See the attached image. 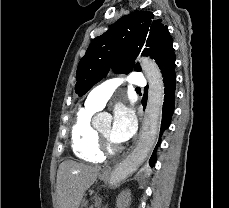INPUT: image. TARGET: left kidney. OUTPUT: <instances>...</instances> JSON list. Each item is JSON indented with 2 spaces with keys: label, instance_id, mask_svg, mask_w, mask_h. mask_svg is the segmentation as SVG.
I'll return each mask as SVG.
<instances>
[{
  "label": "left kidney",
  "instance_id": "1",
  "mask_svg": "<svg viewBox=\"0 0 229 208\" xmlns=\"http://www.w3.org/2000/svg\"><path fill=\"white\" fill-rule=\"evenodd\" d=\"M130 192L126 190V192H121L117 198L116 206L117 208H125L130 200Z\"/></svg>",
  "mask_w": 229,
  "mask_h": 208
}]
</instances>
